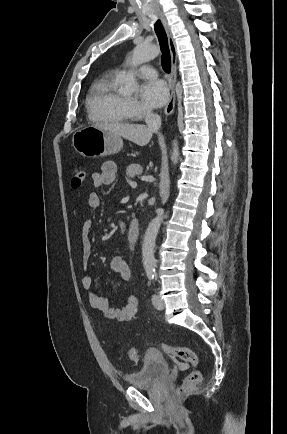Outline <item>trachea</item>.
I'll return each mask as SVG.
<instances>
[{
  "instance_id": "3493384b",
  "label": "trachea",
  "mask_w": 287,
  "mask_h": 434,
  "mask_svg": "<svg viewBox=\"0 0 287 434\" xmlns=\"http://www.w3.org/2000/svg\"><path fill=\"white\" fill-rule=\"evenodd\" d=\"M154 30L156 32V35L158 37L160 48L162 51V58H161V64L163 67V70L166 73H170L171 71V57H170V51L168 47V38L167 34L165 32V29L161 23L160 20H157L154 24Z\"/></svg>"
}]
</instances>
